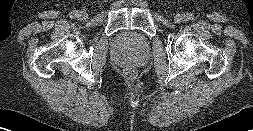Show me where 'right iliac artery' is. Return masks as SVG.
<instances>
[{
	"mask_svg": "<svg viewBox=\"0 0 253 131\" xmlns=\"http://www.w3.org/2000/svg\"><path fill=\"white\" fill-rule=\"evenodd\" d=\"M70 17H71V18H76V17H78L77 11H72V12L70 13Z\"/></svg>",
	"mask_w": 253,
	"mask_h": 131,
	"instance_id": "1",
	"label": "right iliac artery"
}]
</instances>
